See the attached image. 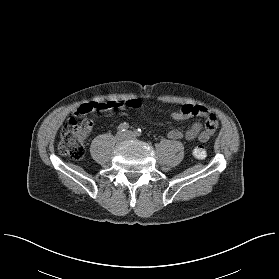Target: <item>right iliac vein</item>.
I'll return each instance as SVG.
<instances>
[{
	"mask_svg": "<svg viewBox=\"0 0 279 279\" xmlns=\"http://www.w3.org/2000/svg\"><path fill=\"white\" fill-rule=\"evenodd\" d=\"M125 138L126 137H125V135L123 133L118 132L116 134V136H115V141H116L117 144H120V143H122L125 140Z\"/></svg>",
	"mask_w": 279,
	"mask_h": 279,
	"instance_id": "obj_1",
	"label": "right iliac vein"
}]
</instances>
